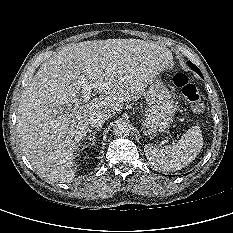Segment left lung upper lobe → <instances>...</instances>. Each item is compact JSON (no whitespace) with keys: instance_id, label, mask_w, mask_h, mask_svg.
<instances>
[{"instance_id":"left-lung-upper-lobe-1","label":"left lung upper lobe","mask_w":233,"mask_h":233,"mask_svg":"<svg viewBox=\"0 0 233 233\" xmlns=\"http://www.w3.org/2000/svg\"><path fill=\"white\" fill-rule=\"evenodd\" d=\"M188 65L192 70L197 72V74H199L202 77V73L196 65H194L192 62H188Z\"/></svg>"}]
</instances>
